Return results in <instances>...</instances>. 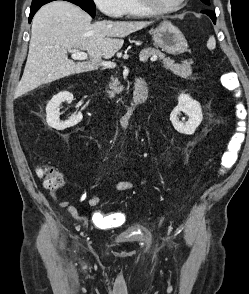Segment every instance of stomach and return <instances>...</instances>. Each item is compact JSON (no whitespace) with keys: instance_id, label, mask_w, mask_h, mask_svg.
I'll return each mask as SVG.
<instances>
[{"instance_id":"stomach-1","label":"stomach","mask_w":249,"mask_h":294,"mask_svg":"<svg viewBox=\"0 0 249 294\" xmlns=\"http://www.w3.org/2000/svg\"><path fill=\"white\" fill-rule=\"evenodd\" d=\"M150 35L155 44L167 53L178 55L187 51L188 44L183 33L169 21H162Z\"/></svg>"}]
</instances>
